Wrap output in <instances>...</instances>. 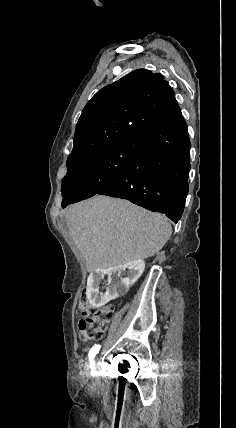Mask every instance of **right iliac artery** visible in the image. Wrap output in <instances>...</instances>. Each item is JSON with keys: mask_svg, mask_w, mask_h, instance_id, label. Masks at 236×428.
Listing matches in <instances>:
<instances>
[{"mask_svg": "<svg viewBox=\"0 0 236 428\" xmlns=\"http://www.w3.org/2000/svg\"><path fill=\"white\" fill-rule=\"evenodd\" d=\"M100 347H101L100 345H95L89 351L88 356H89V361L91 366H94L95 364L94 357L96 356V354L99 353Z\"/></svg>", "mask_w": 236, "mask_h": 428, "instance_id": "right-iliac-artery-1", "label": "right iliac artery"}]
</instances>
